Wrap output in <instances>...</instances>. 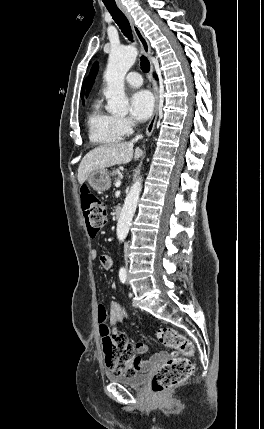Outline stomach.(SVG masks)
Here are the masks:
<instances>
[{
	"label": "stomach",
	"mask_w": 264,
	"mask_h": 429,
	"mask_svg": "<svg viewBox=\"0 0 264 429\" xmlns=\"http://www.w3.org/2000/svg\"><path fill=\"white\" fill-rule=\"evenodd\" d=\"M88 184L97 192H103L110 188L111 179L107 169L93 171L87 179Z\"/></svg>",
	"instance_id": "0dacf381"
}]
</instances>
